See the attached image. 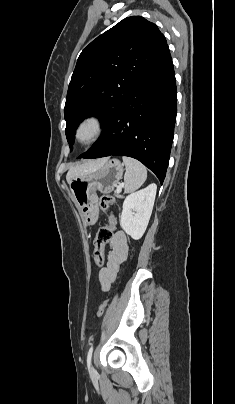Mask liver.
Segmentation results:
<instances>
[{
    "label": "liver",
    "mask_w": 235,
    "mask_h": 404,
    "mask_svg": "<svg viewBox=\"0 0 235 404\" xmlns=\"http://www.w3.org/2000/svg\"><path fill=\"white\" fill-rule=\"evenodd\" d=\"M106 160L107 158H102L71 167L66 175L67 182L70 183L74 177L82 176L97 170L106 162Z\"/></svg>",
    "instance_id": "liver-1"
}]
</instances>
